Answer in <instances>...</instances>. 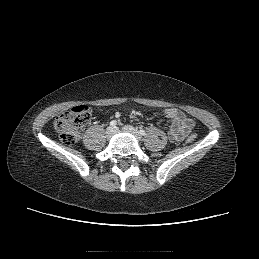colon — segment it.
Listing matches in <instances>:
<instances>
[{
  "instance_id": "1",
  "label": "colon",
  "mask_w": 259,
  "mask_h": 259,
  "mask_svg": "<svg viewBox=\"0 0 259 259\" xmlns=\"http://www.w3.org/2000/svg\"><path fill=\"white\" fill-rule=\"evenodd\" d=\"M91 117V108L87 105H79L60 113L54 120V129L62 142L67 145L79 141L84 125ZM195 134H190L187 141L192 143L196 140Z\"/></svg>"
}]
</instances>
